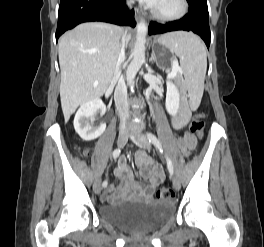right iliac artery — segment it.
Masks as SVG:
<instances>
[{"mask_svg": "<svg viewBox=\"0 0 264 247\" xmlns=\"http://www.w3.org/2000/svg\"><path fill=\"white\" fill-rule=\"evenodd\" d=\"M120 153H121V150L119 149V148H117V149H115L114 151H113V158L114 159H116V158H118V156L120 155ZM107 181H104L103 183H102V186L103 187H106L107 186Z\"/></svg>", "mask_w": 264, "mask_h": 247, "instance_id": "obj_1", "label": "right iliac artery"}]
</instances>
